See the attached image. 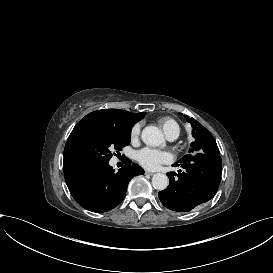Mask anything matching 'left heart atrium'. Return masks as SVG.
<instances>
[{
	"label": "left heart atrium",
	"mask_w": 273,
	"mask_h": 273,
	"mask_svg": "<svg viewBox=\"0 0 273 273\" xmlns=\"http://www.w3.org/2000/svg\"><path fill=\"white\" fill-rule=\"evenodd\" d=\"M167 159V153L152 148H143L138 152V161L147 168H156Z\"/></svg>",
	"instance_id": "1"
}]
</instances>
